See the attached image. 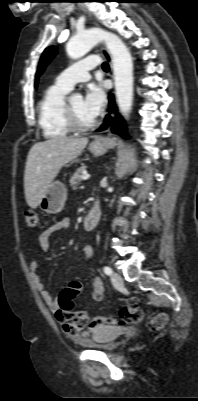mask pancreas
Segmentation results:
<instances>
[{
  "label": "pancreas",
  "instance_id": "pancreas-1",
  "mask_svg": "<svg viewBox=\"0 0 198 401\" xmlns=\"http://www.w3.org/2000/svg\"><path fill=\"white\" fill-rule=\"evenodd\" d=\"M86 167H80L79 169L76 170V172L73 174V176L70 179V186L72 189H76L78 184L81 182L82 177L84 176V171Z\"/></svg>",
  "mask_w": 198,
  "mask_h": 401
}]
</instances>
